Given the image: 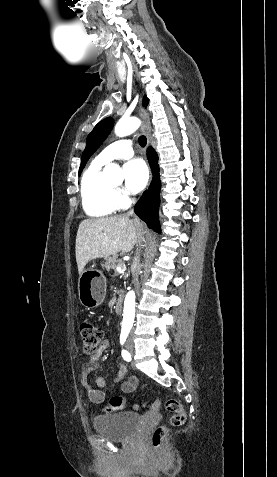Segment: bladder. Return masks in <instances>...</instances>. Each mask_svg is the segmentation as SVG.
I'll return each instance as SVG.
<instances>
[{"instance_id":"31cf9c89","label":"bladder","mask_w":277,"mask_h":477,"mask_svg":"<svg viewBox=\"0 0 277 477\" xmlns=\"http://www.w3.org/2000/svg\"><path fill=\"white\" fill-rule=\"evenodd\" d=\"M142 417L134 412H114L97 416L93 421L95 431L111 441H125L140 428Z\"/></svg>"}]
</instances>
